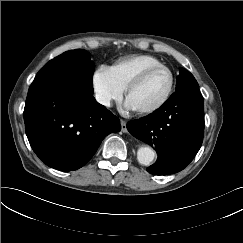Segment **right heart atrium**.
Listing matches in <instances>:
<instances>
[{
  "instance_id": "1",
  "label": "right heart atrium",
  "mask_w": 243,
  "mask_h": 243,
  "mask_svg": "<svg viewBox=\"0 0 243 243\" xmlns=\"http://www.w3.org/2000/svg\"><path fill=\"white\" fill-rule=\"evenodd\" d=\"M93 89L97 100L105 107L111 106L122 97V90L112 78L109 67H99L93 75Z\"/></svg>"
}]
</instances>
